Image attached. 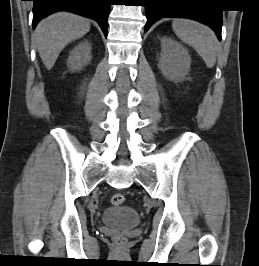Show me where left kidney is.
I'll return each mask as SVG.
<instances>
[{"label": "left kidney", "mask_w": 259, "mask_h": 266, "mask_svg": "<svg viewBox=\"0 0 259 266\" xmlns=\"http://www.w3.org/2000/svg\"><path fill=\"white\" fill-rule=\"evenodd\" d=\"M191 57L188 51L170 37L161 39L159 68L170 80L180 81L189 72Z\"/></svg>", "instance_id": "1"}]
</instances>
